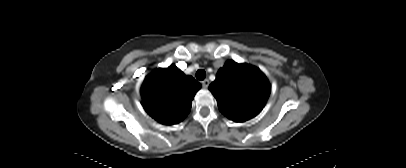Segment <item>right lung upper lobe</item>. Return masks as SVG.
<instances>
[{
    "label": "right lung upper lobe",
    "mask_w": 406,
    "mask_h": 168,
    "mask_svg": "<svg viewBox=\"0 0 406 168\" xmlns=\"http://www.w3.org/2000/svg\"><path fill=\"white\" fill-rule=\"evenodd\" d=\"M201 85L174 64L148 75L141 87L142 105L159 123L172 125L189 113L192 100Z\"/></svg>",
    "instance_id": "1"
}]
</instances>
